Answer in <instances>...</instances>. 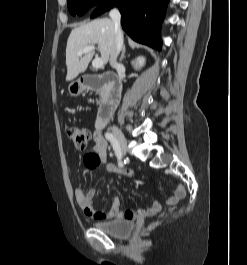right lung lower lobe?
Returning <instances> with one entry per match:
<instances>
[{"label":"right lung lower lobe","mask_w":247,"mask_h":265,"mask_svg":"<svg viewBox=\"0 0 247 265\" xmlns=\"http://www.w3.org/2000/svg\"><path fill=\"white\" fill-rule=\"evenodd\" d=\"M168 0H108L100 5L92 18L117 6L123 30L135 41L161 49L160 25Z\"/></svg>","instance_id":"98d812e1"}]
</instances>
